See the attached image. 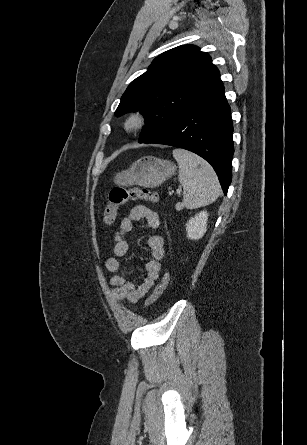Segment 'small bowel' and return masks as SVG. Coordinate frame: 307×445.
I'll list each match as a JSON object with an SVG mask.
<instances>
[{
	"mask_svg": "<svg viewBox=\"0 0 307 445\" xmlns=\"http://www.w3.org/2000/svg\"><path fill=\"white\" fill-rule=\"evenodd\" d=\"M142 219H146L151 228L159 229L160 218L156 212L143 205L135 206L119 221L113 237L114 257L106 261V268L112 273L113 289L110 293L119 302L136 303L139 301L153 288L162 270V261L165 255L164 239L159 234H150L147 238V245L151 252V259L146 264L144 280L136 286L122 273L121 258L129 250L126 235L131 231L133 223Z\"/></svg>",
	"mask_w": 307,
	"mask_h": 445,
	"instance_id": "1",
	"label": "small bowel"
}]
</instances>
